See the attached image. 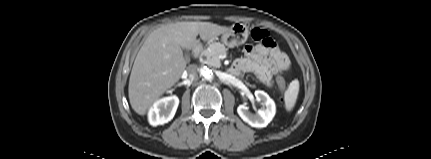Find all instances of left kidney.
<instances>
[{
    "instance_id": "5707ae66",
    "label": "left kidney",
    "mask_w": 431,
    "mask_h": 159,
    "mask_svg": "<svg viewBox=\"0 0 431 159\" xmlns=\"http://www.w3.org/2000/svg\"><path fill=\"white\" fill-rule=\"evenodd\" d=\"M256 100L262 105V108L256 114L249 112L248 107L239 105L237 112L241 119L255 128H263L270 123L276 113V106L274 101L267 93L261 90L255 91Z\"/></svg>"
}]
</instances>
